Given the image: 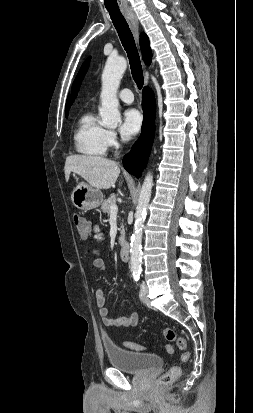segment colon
<instances>
[{
	"label": "colon",
	"mask_w": 253,
	"mask_h": 413,
	"mask_svg": "<svg viewBox=\"0 0 253 413\" xmlns=\"http://www.w3.org/2000/svg\"><path fill=\"white\" fill-rule=\"evenodd\" d=\"M73 222L76 226L77 233L80 236V238L82 239L89 238V236L91 235V227L88 221L85 219V217H83L81 214H74ZM163 335L168 342L174 343L175 346L179 350L182 351L181 360L183 362L188 361L190 357V353L187 351L186 340L183 337L177 335V333L171 328H164ZM125 346L129 349L136 350V351L143 349L142 346L132 343V342H126ZM167 351L170 353L173 352V346L168 345ZM180 374H181V368L179 366H173L158 379L157 384L159 386H166L172 383L173 381H175L180 376Z\"/></svg>",
	"instance_id": "colon-1"
}]
</instances>
